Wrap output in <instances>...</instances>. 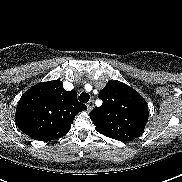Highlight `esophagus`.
<instances>
[{
    "label": "esophagus",
    "mask_w": 182,
    "mask_h": 182,
    "mask_svg": "<svg viewBox=\"0 0 182 182\" xmlns=\"http://www.w3.org/2000/svg\"><path fill=\"white\" fill-rule=\"evenodd\" d=\"M94 107V101L93 100H90L88 103H87V109L88 111H91Z\"/></svg>",
    "instance_id": "esophagus-1"
}]
</instances>
